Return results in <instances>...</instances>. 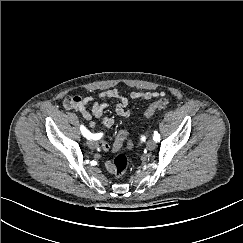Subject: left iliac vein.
I'll return each instance as SVG.
<instances>
[{
  "instance_id": "1",
  "label": "left iliac vein",
  "mask_w": 243,
  "mask_h": 243,
  "mask_svg": "<svg viewBox=\"0 0 243 243\" xmlns=\"http://www.w3.org/2000/svg\"><path fill=\"white\" fill-rule=\"evenodd\" d=\"M155 147H156V143H155L154 140H149V141L147 142V148H148L149 150H153V149H155Z\"/></svg>"
}]
</instances>
